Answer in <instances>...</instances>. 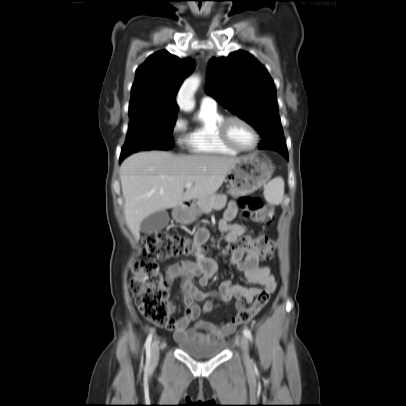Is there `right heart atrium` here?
<instances>
[{
	"label": "right heart atrium",
	"mask_w": 406,
	"mask_h": 406,
	"mask_svg": "<svg viewBox=\"0 0 406 406\" xmlns=\"http://www.w3.org/2000/svg\"><path fill=\"white\" fill-rule=\"evenodd\" d=\"M187 127V122L181 116H177L173 122L172 131L173 133L178 136L179 143H185L184 132Z\"/></svg>",
	"instance_id": "obj_1"
}]
</instances>
